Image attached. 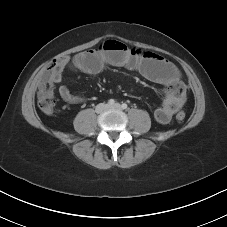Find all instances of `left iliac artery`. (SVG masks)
Segmentation results:
<instances>
[{"mask_svg":"<svg viewBox=\"0 0 227 227\" xmlns=\"http://www.w3.org/2000/svg\"><path fill=\"white\" fill-rule=\"evenodd\" d=\"M121 107H122V109H127V108H128V105H127L126 103H123V104L121 105Z\"/></svg>","mask_w":227,"mask_h":227,"instance_id":"1","label":"left iliac artery"}]
</instances>
